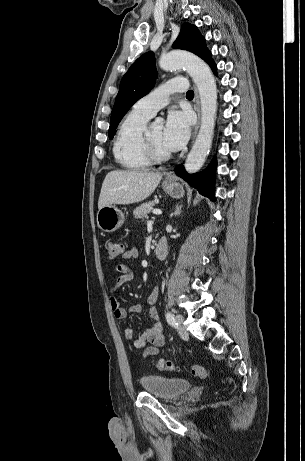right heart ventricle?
<instances>
[{"label": "right heart ventricle", "mask_w": 305, "mask_h": 461, "mask_svg": "<svg viewBox=\"0 0 305 461\" xmlns=\"http://www.w3.org/2000/svg\"><path fill=\"white\" fill-rule=\"evenodd\" d=\"M149 116L132 110L121 122L113 144L116 161L125 169L142 170L151 161L143 147V134Z\"/></svg>", "instance_id": "right-heart-ventricle-1"}]
</instances>
